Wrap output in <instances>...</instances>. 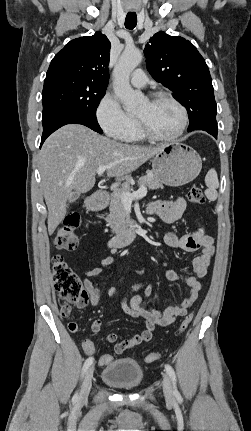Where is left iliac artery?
<instances>
[{"label": "left iliac artery", "mask_w": 251, "mask_h": 431, "mask_svg": "<svg viewBox=\"0 0 251 431\" xmlns=\"http://www.w3.org/2000/svg\"><path fill=\"white\" fill-rule=\"evenodd\" d=\"M165 369H166V372L168 373V375H169V377H170V379L172 381L174 395L176 397H180V394H179V392L177 390V386H176V374H175L174 369L169 364L165 365Z\"/></svg>", "instance_id": "44dca946"}]
</instances>
